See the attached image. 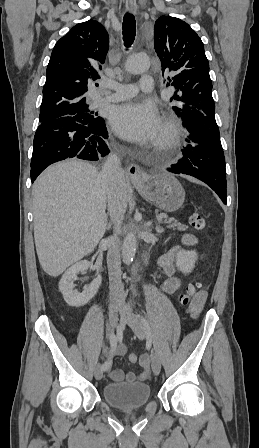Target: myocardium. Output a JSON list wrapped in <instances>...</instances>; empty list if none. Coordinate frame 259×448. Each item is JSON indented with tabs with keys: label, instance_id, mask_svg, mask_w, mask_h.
Wrapping results in <instances>:
<instances>
[{
	"label": "myocardium",
	"instance_id": "myocardium-1",
	"mask_svg": "<svg viewBox=\"0 0 259 448\" xmlns=\"http://www.w3.org/2000/svg\"><path fill=\"white\" fill-rule=\"evenodd\" d=\"M162 130V137L156 143V146L166 149L174 148L178 142L180 134V125L177 118L174 115H168L162 123Z\"/></svg>",
	"mask_w": 259,
	"mask_h": 448
}]
</instances>
